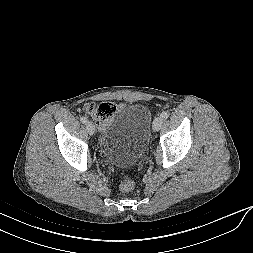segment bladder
Instances as JSON below:
<instances>
[{"instance_id":"bladder-1","label":"bladder","mask_w":253,"mask_h":253,"mask_svg":"<svg viewBox=\"0 0 253 253\" xmlns=\"http://www.w3.org/2000/svg\"><path fill=\"white\" fill-rule=\"evenodd\" d=\"M151 122L152 113L145 105L131 104L121 108L101 131L102 155L120 167L138 163L148 147Z\"/></svg>"}]
</instances>
